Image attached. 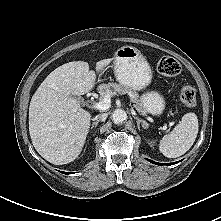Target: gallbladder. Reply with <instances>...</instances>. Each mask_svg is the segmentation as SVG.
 Segmentation results:
<instances>
[{"instance_id":"gallbladder-1","label":"gallbladder","mask_w":221,"mask_h":221,"mask_svg":"<svg viewBox=\"0 0 221 221\" xmlns=\"http://www.w3.org/2000/svg\"><path fill=\"white\" fill-rule=\"evenodd\" d=\"M71 97L76 99L78 102H81V97H79V96H71Z\"/></svg>"}]
</instances>
